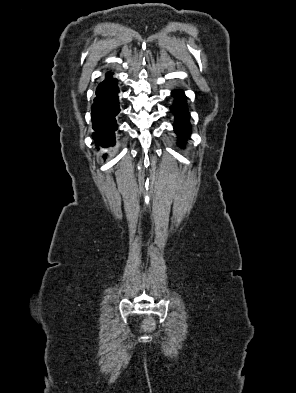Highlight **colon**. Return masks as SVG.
I'll return each mask as SVG.
<instances>
[{
	"label": "colon",
	"mask_w": 296,
	"mask_h": 393,
	"mask_svg": "<svg viewBox=\"0 0 296 393\" xmlns=\"http://www.w3.org/2000/svg\"><path fill=\"white\" fill-rule=\"evenodd\" d=\"M154 326H155V322H154L153 319H147V320L144 322V327H145L147 330L153 329Z\"/></svg>",
	"instance_id": "5ec220e1"
}]
</instances>
